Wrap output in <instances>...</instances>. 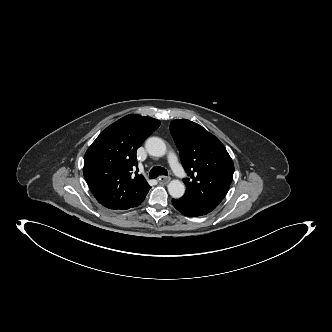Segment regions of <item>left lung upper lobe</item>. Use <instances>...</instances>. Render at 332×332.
Wrapping results in <instances>:
<instances>
[{
  "label": "left lung upper lobe",
  "instance_id": "5c2ea615",
  "mask_svg": "<svg viewBox=\"0 0 332 332\" xmlns=\"http://www.w3.org/2000/svg\"><path fill=\"white\" fill-rule=\"evenodd\" d=\"M170 132L182 165L190 178L183 179V195L213 210L227 194L234 164L217 137L187 119L173 120Z\"/></svg>",
  "mask_w": 332,
  "mask_h": 332
}]
</instances>
